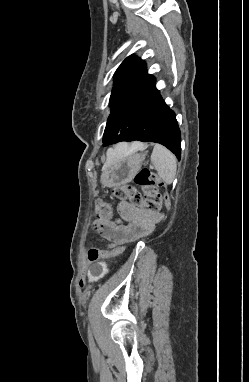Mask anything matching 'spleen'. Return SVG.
<instances>
[{
    "instance_id": "obj_1",
    "label": "spleen",
    "mask_w": 249,
    "mask_h": 382,
    "mask_svg": "<svg viewBox=\"0 0 249 382\" xmlns=\"http://www.w3.org/2000/svg\"><path fill=\"white\" fill-rule=\"evenodd\" d=\"M151 163L155 167L159 177L166 183L171 184L174 181L177 160L176 157L166 147L155 144L152 154Z\"/></svg>"
}]
</instances>
